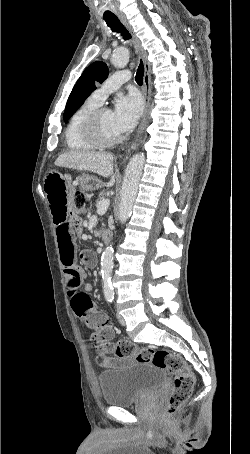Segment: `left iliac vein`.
I'll return each instance as SVG.
<instances>
[{"instance_id": "1", "label": "left iliac vein", "mask_w": 250, "mask_h": 454, "mask_svg": "<svg viewBox=\"0 0 250 454\" xmlns=\"http://www.w3.org/2000/svg\"><path fill=\"white\" fill-rule=\"evenodd\" d=\"M116 316H117V319H118L119 323L121 325L125 326L126 322H125V319L123 318V316L119 312H117Z\"/></svg>"}]
</instances>
